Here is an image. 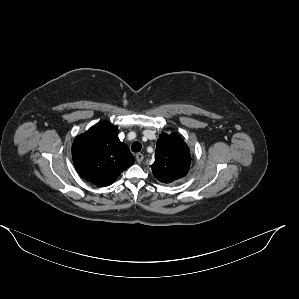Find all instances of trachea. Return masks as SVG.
I'll list each match as a JSON object with an SVG mask.
<instances>
[{
  "label": "trachea",
  "instance_id": "3493384b",
  "mask_svg": "<svg viewBox=\"0 0 299 299\" xmlns=\"http://www.w3.org/2000/svg\"><path fill=\"white\" fill-rule=\"evenodd\" d=\"M141 148H142V145L140 142H134L131 146V150L133 152H139L141 150Z\"/></svg>",
  "mask_w": 299,
  "mask_h": 299
}]
</instances>
